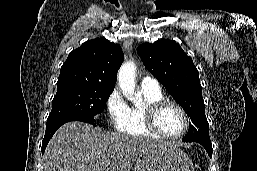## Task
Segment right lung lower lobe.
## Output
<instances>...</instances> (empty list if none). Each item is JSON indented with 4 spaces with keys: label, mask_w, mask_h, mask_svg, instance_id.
I'll return each instance as SVG.
<instances>
[{
    "label": "right lung lower lobe",
    "mask_w": 257,
    "mask_h": 171,
    "mask_svg": "<svg viewBox=\"0 0 257 171\" xmlns=\"http://www.w3.org/2000/svg\"><path fill=\"white\" fill-rule=\"evenodd\" d=\"M70 121H82V122L95 125L94 119L82 117V116H76V115H66V116H61V117L47 120L46 132H45L44 139L42 141V154H44L46 146L50 141V139L52 138V136L54 135V133L56 132V130L64 123H67Z\"/></svg>",
    "instance_id": "right-lung-lower-lobe-1"
}]
</instances>
